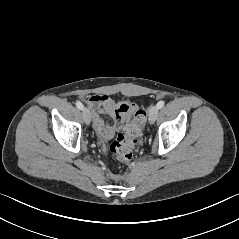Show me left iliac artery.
I'll use <instances>...</instances> for the list:
<instances>
[{
	"label": "left iliac artery",
	"instance_id": "1",
	"mask_svg": "<svg viewBox=\"0 0 239 239\" xmlns=\"http://www.w3.org/2000/svg\"><path fill=\"white\" fill-rule=\"evenodd\" d=\"M164 104H165V102L164 101H159L158 103H157V107H158V109H161L163 106H164Z\"/></svg>",
	"mask_w": 239,
	"mask_h": 239
}]
</instances>
